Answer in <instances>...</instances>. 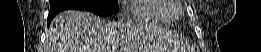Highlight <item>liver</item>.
Masks as SVG:
<instances>
[{"label":"liver","instance_id":"1","mask_svg":"<svg viewBox=\"0 0 261 52\" xmlns=\"http://www.w3.org/2000/svg\"><path fill=\"white\" fill-rule=\"evenodd\" d=\"M132 23H113L87 11L57 15L46 34V52H133Z\"/></svg>","mask_w":261,"mask_h":52}]
</instances>
